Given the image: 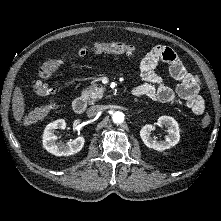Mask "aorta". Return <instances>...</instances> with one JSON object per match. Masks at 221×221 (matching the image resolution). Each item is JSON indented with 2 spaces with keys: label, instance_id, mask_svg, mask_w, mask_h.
I'll use <instances>...</instances> for the list:
<instances>
[{
  "label": "aorta",
  "instance_id": "762f6f07",
  "mask_svg": "<svg viewBox=\"0 0 221 221\" xmlns=\"http://www.w3.org/2000/svg\"><path fill=\"white\" fill-rule=\"evenodd\" d=\"M112 120L116 124H120L124 121V114L120 111H116L112 114Z\"/></svg>",
  "mask_w": 221,
  "mask_h": 221
}]
</instances>
